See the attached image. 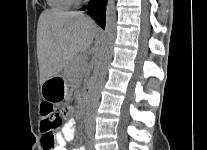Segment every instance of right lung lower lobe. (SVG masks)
Returning a JSON list of instances; mask_svg holds the SVG:
<instances>
[{
	"mask_svg": "<svg viewBox=\"0 0 207 150\" xmlns=\"http://www.w3.org/2000/svg\"><path fill=\"white\" fill-rule=\"evenodd\" d=\"M106 0H90L88 5L89 14L95 19V21L104 29L105 28V11Z\"/></svg>",
	"mask_w": 207,
	"mask_h": 150,
	"instance_id": "obj_1",
	"label": "right lung lower lobe"
}]
</instances>
